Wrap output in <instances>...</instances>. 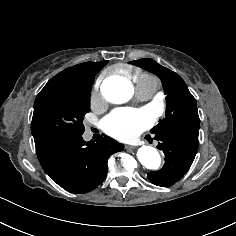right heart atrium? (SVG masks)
Instances as JSON below:
<instances>
[{
	"label": "right heart atrium",
	"instance_id": "1",
	"mask_svg": "<svg viewBox=\"0 0 236 236\" xmlns=\"http://www.w3.org/2000/svg\"><path fill=\"white\" fill-rule=\"evenodd\" d=\"M100 83H101V78L98 79V81H97V83H96V87H98Z\"/></svg>",
	"mask_w": 236,
	"mask_h": 236
}]
</instances>
